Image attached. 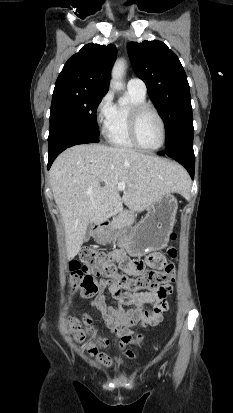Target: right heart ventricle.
Here are the masks:
<instances>
[{"instance_id": "right-heart-ventricle-1", "label": "right heart ventricle", "mask_w": 233, "mask_h": 413, "mask_svg": "<svg viewBox=\"0 0 233 413\" xmlns=\"http://www.w3.org/2000/svg\"><path fill=\"white\" fill-rule=\"evenodd\" d=\"M145 102L146 95L128 90L127 102H120L114 105L109 123L104 129V134L109 144L125 149L136 148L129 136V115L133 106Z\"/></svg>"}]
</instances>
